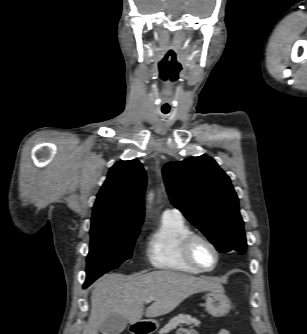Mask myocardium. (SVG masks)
Instances as JSON below:
<instances>
[{"label": "myocardium", "instance_id": "obj_1", "mask_svg": "<svg viewBox=\"0 0 307 334\" xmlns=\"http://www.w3.org/2000/svg\"><path fill=\"white\" fill-rule=\"evenodd\" d=\"M197 241H202V242L206 243L213 250V252L215 254V262L209 268L202 267L196 261V259L194 257L193 247H194V244ZM181 249H182V253H183V256H184L185 260L191 266H193L194 268H196L200 272H211L214 269H216V267L219 264L220 251H219L217 245L210 238H208L207 236H205L203 234H199V233H195V232H192V233L188 234L182 241Z\"/></svg>", "mask_w": 307, "mask_h": 334}]
</instances>
